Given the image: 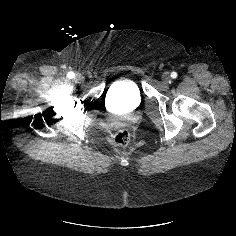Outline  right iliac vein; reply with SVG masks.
Listing matches in <instances>:
<instances>
[{
	"label": "right iliac vein",
	"instance_id": "1",
	"mask_svg": "<svg viewBox=\"0 0 236 236\" xmlns=\"http://www.w3.org/2000/svg\"><path fill=\"white\" fill-rule=\"evenodd\" d=\"M75 79H76V81H78V82H83V77H82V75H76V76H75Z\"/></svg>",
	"mask_w": 236,
	"mask_h": 236
}]
</instances>
